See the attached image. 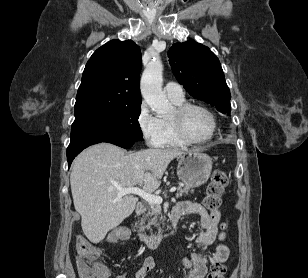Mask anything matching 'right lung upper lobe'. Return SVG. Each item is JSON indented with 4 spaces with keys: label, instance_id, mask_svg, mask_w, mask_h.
I'll use <instances>...</instances> for the list:
<instances>
[{
    "label": "right lung upper lobe",
    "instance_id": "right-lung-upper-lobe-1",
    "mask_svg": "<svg viewBox=\"0 0 308 278\" xmlns=\"http://www.w3.org/2000/svg\"><path fill=\"white\" fill-rule=\"evenodd\" d=\"M139 47L131 40H111L86 64L75 103V115L141 105Z\"/></svg>",
    "mask_w": 308,
    "mask_h": 278
}]
</instances>
